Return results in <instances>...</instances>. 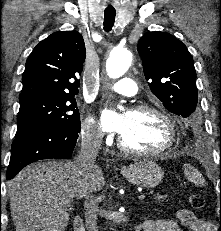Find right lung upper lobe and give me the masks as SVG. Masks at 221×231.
Returning a JSON list of instances; mask_svg holds the SVG:
<instances>
[{"label": "right lung upper lobe", "instance_id": "1", "mask_svg": "<svg viewBox=\"0 0 221 231\" xmlns=\"http://www.w3.org/2000/svg\"><path fill=\"white\" fill-rule=\"evenodd\" d=\"M86 50L77 31H59L38 43L26 61L19 99L37 96H74Z\"/></svg>", "mask_w": 221, "mask_h": 231}]
</instances>
